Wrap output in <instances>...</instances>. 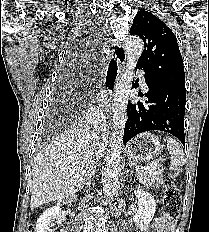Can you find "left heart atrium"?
<instances>
[{"instance_id": "obj_1", "label": "left heart atrium", "mask_w": 209, "mask_h": 232, "mask_svg": "<svg viewBox=\"0 0 209 232\" xmlns=\"http://www.w3.org/2000/svg\"><path fill=\"white\" fill-rule=\"evenodd\" d=\"M98 101L102 104V105H106L108 102H109V95L106 91H101L99 94H98Z\"/></svg>"}]
</instances>
